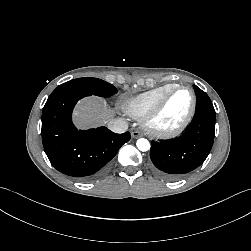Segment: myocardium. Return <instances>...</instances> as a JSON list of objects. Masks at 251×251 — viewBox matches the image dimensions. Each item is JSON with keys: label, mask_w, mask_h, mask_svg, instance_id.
<instances>
[{"label": "myocardium", "mask_w": 251, "mask_h": 251, "mask_svg": "<svg viewBox=\"0 0 251 251\" xmlns=\"http://www.w3.org/2000/svg\"><path fill=\"white\" fill-rule=\"evenodd\" d=\"M178 90H187L191 94V98H192L191 107H190L186 117L175 128H172V129L158 128L156 126L157 118L159 117L160 113L162 112V110H163L164 106L166 105L170 96ZM196 107H197V97H196L194 90L188 86L175 85L174 87L169 89L159 99V101L155 104V106L144 116V118L142 119V126L149 135H151L152 137H155V138L167 139V138H172V137L178 136L188 127V125L192 121L194 114L196 112Z\"/></svg>", "instance_id": "1"}]
</instances>
